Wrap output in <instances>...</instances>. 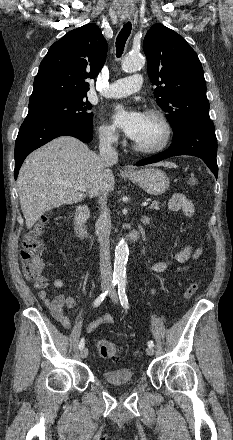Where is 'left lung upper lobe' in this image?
Wrapping results in <instances>:
<instances>
[{
	"label": "left lung upper lobe",
	"instance_id": "left-lung-upper-lobe-1",
	"mask_svg": "<svg viewBox=\"0 0 233 440\" xmlns=\"http://www.w3.org/2000/svg\"><path fill=\"white\" fill-rule=\"evenodd\" d=\"M156 102L173 128V139L195 121H210L203 68L186 40L161 24L143 42Z\"/></svg>",
	"mask_w": 233,
	"mask_h": 440
}]
</instances>
